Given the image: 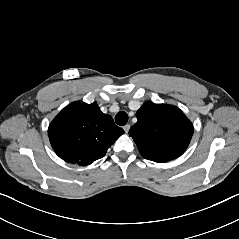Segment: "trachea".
Wrapping results in <instances>:
<instances>
[{"label":"trachea","mask_w":239,"mask_h":239,"mask_svg":"<svg viewBox=\"0 0 239 239\" xmlns=\"http://www.w3.org/2000/svg\"><path fill=\"white\" fill-rule=\"evenodd\" d=\"M115 121L118 125L124 126L128 122V115L124 111H120L115 116Z\"/></svg>","instance_id":"3493384b"}]
</instances>
